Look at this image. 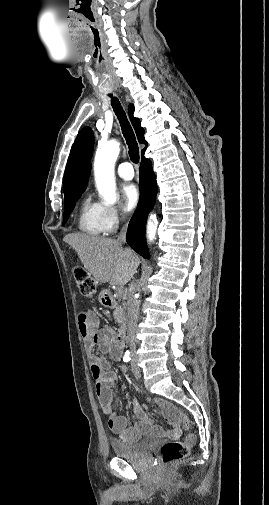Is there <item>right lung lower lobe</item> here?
Wrapping results in <instances>:
<instances>
[{"label": "right lung lower lobe", "mask_w": 269, "mask_h": 505, "mask_svg": "<svg viewBox=\"0 0 269 505\" xmlns=\"http://www.w3.org/2000/svg\"><path fill=\"white\" fill-rule=\"evenodd\" d=\"M140 200L127 230V243L141 256L149 258L146 246L145 224L148 212L152 209L157 195L156 176L150 159L142 157L140 166Z\"/></svg>", "instance_id": "98d812e1"}]
</instances>
